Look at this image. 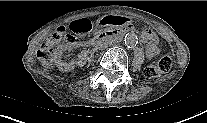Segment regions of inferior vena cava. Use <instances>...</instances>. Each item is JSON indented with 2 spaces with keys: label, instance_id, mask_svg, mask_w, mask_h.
<instances>
[{
  "label": "inferior vena cava",
  "instance_id": "602c4592",
  "mask_svg": "<svg viewBox=\"0 0 207 123\" xmlns=\"http://www.w3.org/2000/svg\"><path fill=\"white\" fill-rule=\"evenodd\" d=\"M108 47V44L106 42H100L97 44V49H106Z\"/></svg>",
  "mask_w": 207,
  "mask_h": 123
}]
</instances>
